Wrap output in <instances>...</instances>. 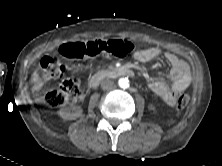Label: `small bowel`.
<instances>
[{"instance_id": "obj_1", "label": "small bowel", "mask_w": 222, "mask_h": 166, "mask_svg": "<svg viewBox=\"0 0 222 166\" xmlns=\"http://www.w3.org/2000/svg\"><path fill=\"white\" fill-rule=\"evenodd\" d=\"M159 56H163L171 66L170 79L172 83L168 85L163 80L155 79L150 81L148 86L167 105L174 106L177 94L187 89L190 85L191 74L184 60L175 54L164 52L160 48L151 47L138 50L134 53V58L139 62H149Z\"/></svg>"}]
</instances>
